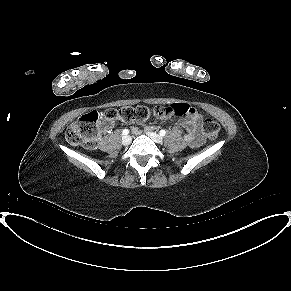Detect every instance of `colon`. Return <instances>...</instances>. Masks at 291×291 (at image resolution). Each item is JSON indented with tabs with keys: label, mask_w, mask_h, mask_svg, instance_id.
I'll use <instances>...</instances> for the list:
<instances>
[{
	"label": "colon",
	"mask_w": 291,
	"mask_h": 291,
	"mask_svg": "<svg viewBox=\"0 0 291 291\" xmlns=\"http://www.w3.org/2000/svg\"><path fill=\"white\" fill-rule=\"evenodd\" d=\"M189 111V105L178 103L167 107H157L153 110V114L164 118L170 115H185ZM102 116L110 121L120 119L127 123H142L149 118L150 110L145 106H125L119 110L108 109ZM100 118L101 115L97 111H91L81 116L69 127L66 133L67 141L74 146L95 147ZM203 132L207 139L214 140L219 135L220 127L216 121L207 118L203 122Z\"/></svg>",
	"instance_id": "5ec220e1"
}]
</instances>
